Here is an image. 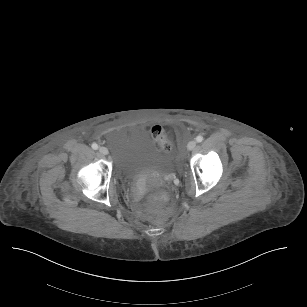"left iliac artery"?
I'll list each match as a JSON object with an SVG mask.
<instances>
[{
  "label": "left iliac artery",
  "instance_id": "1",
  "mask_svg": "<svg viewBox=\"0 0 307 307\" xmlns=\"http://www.w3.org/2000/svg\"><path fill=\"white\" fill-rule=\"evenodd\" d=\"M196 141H197V142H202V141H203V136L198 135V136L196 137Z\"/></svg>",
  "mask_w": 307,
  "mask_h": 307
}]
</instances>
